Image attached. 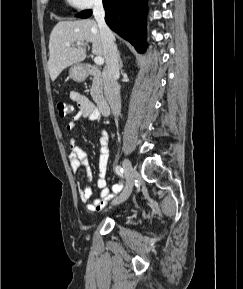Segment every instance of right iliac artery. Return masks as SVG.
<instances>
[{"label":"right iliac artery","mask_w":243,"mask_h":289,"mask_svg":"<svg viewBox=\"0 0 243 289\" xmlns=\"http://www.w3.org/2000/svg\"><path fill=\"white\" fill-rule=\"evenodd\" d=\"M115 171L117 175L119 176L123 175V168L121 166H116Z\"/></svg>","instance_id":"1"}]
</instances>
